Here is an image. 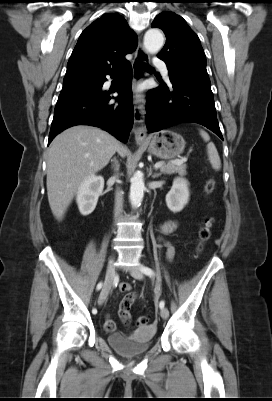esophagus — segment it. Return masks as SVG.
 Wrapping results in <instances>:
<instances>
[{
    "instance_id": "obj_1",
    "label": "esophagus",
    "mask_w": 272,
    "mask_h": 401,
    "mask_svg": "<svg viewBox=\"0 0 272 401\" xmlns=\"http://www.w3.org/2000/svg\"><path fill=\"white\" fill-rule=\"evenodd\" d=\"M149 60V55L145 51L141 42H139L138 47L135 52V57L132 61V70H133V85L135 86L139 81H141L144 77V71L142 69V63ZM133 109H134V136L137 144H143L146 141L147 133L146 127L144 124L145 121V112L143 105L140 103V100L137 94L134 95L133 101Z\"/></svg>"
}]
</instances>
